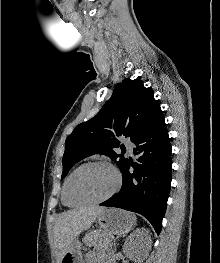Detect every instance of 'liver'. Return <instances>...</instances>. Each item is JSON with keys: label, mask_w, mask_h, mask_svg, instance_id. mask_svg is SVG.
Listing matches in <instances>:
<instances>
[{"label": "liver", "mask_w": 220, "mask_h": 263, "mask_svg": "<svg viewBox=\"0 0 220 263\" xmlns=\"http://www.w3.org/2000/svg\"><path fill=\"white\" fill-rule=\"evenodd\" d=\"M105 209L99 206L82 207L63 212L56 218L53 227L56 263L61 262L76 237L89 228Z\"/></svg>", "instance_id": "1"}]
</instances>
